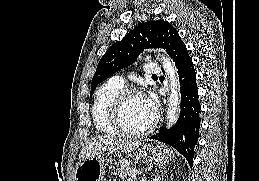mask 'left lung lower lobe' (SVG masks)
<instances>
[{
  "label": "left lung lower lobe",
  "mask_w": 259,
  "mask_h": 181,
  "mask_svg": "<svg viewBox=\"0 0 259 181\" xmlns=\"http://www.w3.org/2000/svg\"><path fill=\"white\" fill-rule=\"evenodd\" d=\"M170 57L178 69L181 85V112L174 127L169 130L161 128L159 133L152 138L174 147L192 166L194 147L198 141L200 128L196 73L192 59L181 39L171 49Z\"/></svg>",
  "instance_id": "obj_1"
}]
</instances>
